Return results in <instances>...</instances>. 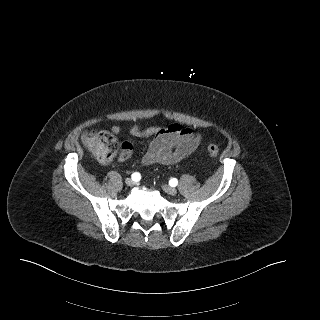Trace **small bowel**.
Segmentation results:
<instances>
[{
    "label": "small bowel",
    "instance_id": "c3829d8e",
    "mask_svg": "<svg viewBox=\"0 0 320 320\" xmlns=\"http://www.w3.org/2000/svg\"><path fill=\"white\" fill-rule=\"evenodd\" d=\"M112 132L119 134V126H113ZM130 134L137 138L152 137L147 144L145 154L142 156V164L149 166L154 164L173 165L191 155L200 145L202 137L193 130L178 124L167 127L150 126L141 128L135 124L130 128ZM132 153L129 142H124L120 158L126 160Z\"/></svg>",
    "mask_w": 320,
    "mask_h": 320
}]
</instances>
